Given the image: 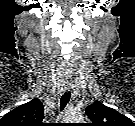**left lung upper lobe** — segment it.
Returning a JSON list of instances; mask_svg holds the SVG:
<instances>
[{
  "mask_svg": "<svg viewBox=\"0 0 135 126\" xmlns=\"http://www.w3.org/2000/svg\"><path fill=\"white\" fill-rule=\"evenodd\" d=\"M91 126H132L129 118L96 100L86 108Z\"/></svg>",
  "mask_w": 135,
  "mask_h": 126,
  "instance_id": "obj_1",
  "label": "left lung upper lobe"
}]
</instances>
